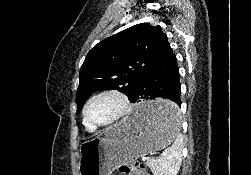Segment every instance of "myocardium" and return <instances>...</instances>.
Here are the masks:
<instances>
[{
  "label": "myocardium",
  "instance_id": "f54148a6",
  "mask_svg": "<svg viewBox=\"0 0 251 175\" xmlns=\"http://www.w3.org/2000/svg\"><path fill=\"white\" fill-rule=\"evenodd\" d=\"M115 94L117 95L122 104H123V112L122 114L120 115V117L115 120L114 122L108 124V125H103V126H99V125H89L88 124V108H89V105L91 104V102L96 99L97 97L99 96H102L104 94ZM132 102H131V99L129 97V95L122 89L120 88H116V87H113V88H105V89H102L100 91H98L97 93L93 94L86 102V104L84 105V108H83V124L84 126L87 128H90L94 131H100V130H106V129H110V128H113L119 124H121L122 122H124L131 114L132 112Z\"/></svg>",
  "mask_w": 251,
  "mask_h": 175
}]
</instances>
